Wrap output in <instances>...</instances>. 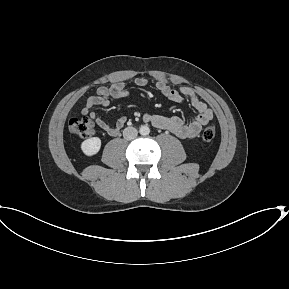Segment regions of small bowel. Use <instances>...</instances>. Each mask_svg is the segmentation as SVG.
Returning a JSON list of instances; mask_svg holds the SVG:
<instances>
[{"instance_id": "small-bowel-1", "label": "small bowel", "mask_w": 289, "mask_h": 289, "mask_svg": "<svg viewBox=\"0 0 289 289\" xmlns=\"http://www.w3.org/2000/svg\"><path fill=\"white\" fill-rule=\"evenodd\" d=\"M133 84L137 87H145L148 85V80L143 77L136 78L133 81ZM155 88L161 95L170 101L176 103H182L185 100L189 101L192 107L197 111V115L191 121L186 122L177 116L167 117L159 114L146 113L144 115V120L151 123L153 126L167 130L179 138L192 139L195 138L200 133L202 127L213 118L212 110L190 87L180 86L175 89L170 87L165 81L157 80L155 82ZM129 95L130 93L123 81L115 82L109 87H99L94 95L87 98L82 109V114H89L102 130L111 136H115L123 128L127 122V118L121 117L114 125H111L97 117L95 112L92 111V108L94 106L107 107L112 101Z\"/></svg>"}]
</instances>
